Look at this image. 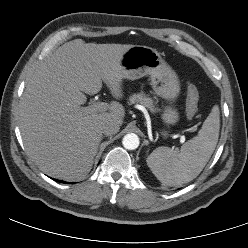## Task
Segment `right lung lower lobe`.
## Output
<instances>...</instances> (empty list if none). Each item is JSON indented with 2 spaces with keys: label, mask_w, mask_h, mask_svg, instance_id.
Listing matches in <instances>:
<instances>
[{
  "label": "right lung lower lobe",
  "mask_w": 248,
  "mask_h": 248,
  "mask_svg": "<svg viewBox=\"0 0 248 248\" xmlns=\"http://www.w3.org/2000/svg\"><path fill=\"white\" fill-rule=\"evenodd\" d=\"M56 181H58V182H62V183H66V182H63V181H61V180H56Z\"/></svg>",
  "instance_id": "right-lung-lower-lobe-1"
}]
</instances>
